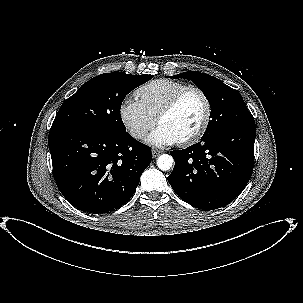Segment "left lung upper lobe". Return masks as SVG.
<instances>
[{"instance_id": "obj_1", "label": "left lung upper lobe", "mask_w": 303, "mask_h": 303, "mask_svg": "<svg viewBox=\"0 0 303 303\" xmlns=\"http://www.w3.org/2000/svg\"><path fill=\"white\" fill-rule=\"evenodd\" d=\"M169 77L191 80L208 99L211 107V120L203 137L231 127L255 125L254 118L246 107L241 94L217 78L196 71L183 72Z\"/></svg>"}]
</instances>
